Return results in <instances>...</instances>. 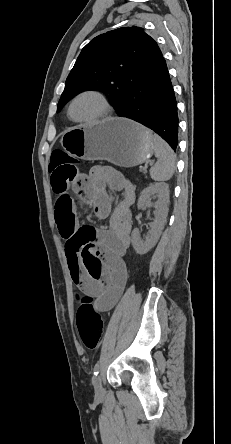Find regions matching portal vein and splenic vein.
I'll return each instance as SVG.
<instances>
[{"mask_svg": "<svg viewBox=\"0 0 231 444\" xmlns=\"http://www.w3.org/2000/svg\"><path fill=\"white\" fill-rule=\"evenodd\" d=\"M147 168H148L147 166L144 167V169H147Z\"/></svg>", "mask_w": 231, "mask_h": 444, "instance_id": "18ae733b", "label": "portal vein and splenic vein"}]
</instances>
